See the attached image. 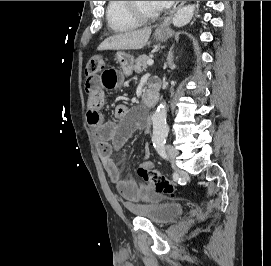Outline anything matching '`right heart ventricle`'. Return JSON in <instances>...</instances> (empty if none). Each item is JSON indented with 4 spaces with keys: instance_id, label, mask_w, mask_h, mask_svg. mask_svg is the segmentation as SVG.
Wrapping results in <instances>:
<instances>
[{
    "instance_id": "obj_1",
    "label": "right heart ventricle",
    "mask_w": 271,
    "mask_h": 266,
    "mask_svg": "<svg viewBox=\"0 0 271 266\" xmlns=\"http://www.w3.org/2000/svg\"><path fill=\"white\" fill-rule=\"evenodd\" d=\"M106 20L110 29L119 33L132 31L140 24L127 11L125 1H108Z\"/></svg>"
}]
</instances>
